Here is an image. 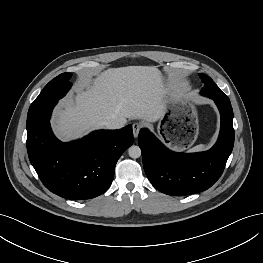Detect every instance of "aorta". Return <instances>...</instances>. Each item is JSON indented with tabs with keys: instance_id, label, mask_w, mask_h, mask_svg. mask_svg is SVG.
<instances>
[{
	"instance_id": "762f6f07",
	"label": "aorta",
	"mask_w": 263,
	"mask_h": 263,
	"mask_svg": "<svg viewBox=\"0 0 263 263\" xmlns=\"http://www.w3.org/2000/svg\"><path fill=\"white\" fill-rule=\"evenodd\" d=\"M128 154L131 158H139L141 156V149L139 146L132 145L128 149Z\"/></svg>"
}]
</instances>
